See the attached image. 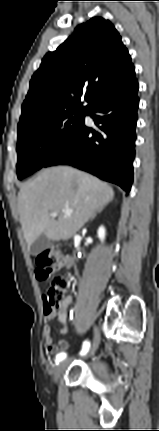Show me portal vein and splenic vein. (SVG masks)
<instances>
[{"label": "portal vein and splenic vein", "instance_id": "portal-vein-and-splenic-vein-1", "mask_svg": "<svg viewBox=\"0 0 159 431\" xmlns=\"http://www.w3.org/2000/svg\"><path fill=\"white\" fill-rule=\"evenodd\" d=\"M73 211L72 210H69V209H66V210H64V213L66 214V215H70L71 213H72ZM51 217L52 218H55V217H57V215H58V213L57 212H51Z\"/></svg>", "mask_w": 159, "mask_h": 431}]
</instances>
